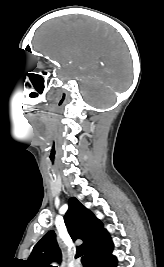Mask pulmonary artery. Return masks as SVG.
Listing matches in <instances>:
<instances>
[{
	"mask_svg": "<svg viewBox=\"0 0 164 267\" xmlns=\"http://www.w3.org/2000/svg\"><path fill=\"white\" fill-rule=\"evenodd\" d=\"M75 267H80V266H79V264H76V266H75Z\"/></svg>",
	"mask_w": 164,
	"mask_h": 267,
	"instance_id": "obj_1",
	"label": "pulmonary artery"
}]
</instances>
